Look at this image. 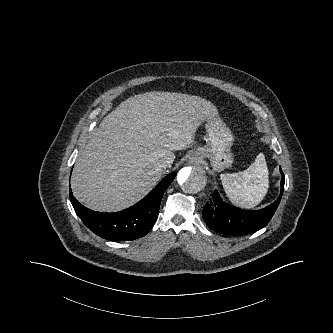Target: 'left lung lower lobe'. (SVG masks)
<instances>
[{"label":"left lung lower lobe","instance_id":"obj_1","mask_svg":"<svg viewBox=\"0 0 333 333\" xmlns=\"http://www.w3.org/2000/svg\"><path fill=\"white\" fill-rule=\"evenodd\" d=\"M281 180V193L278 199L261 210H244L233 207L222 201L217 190L212 195L210 204L203 208L202 216L206 224L218 233L228 235L248 234L268 224L274 215L284 190V174Z\"/></svg>","mask_w":333,"mask_h":333}]
</instances>
